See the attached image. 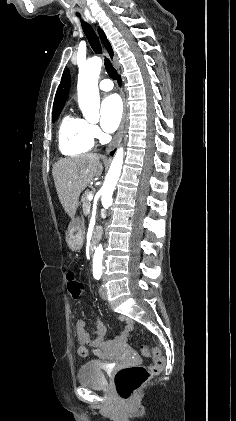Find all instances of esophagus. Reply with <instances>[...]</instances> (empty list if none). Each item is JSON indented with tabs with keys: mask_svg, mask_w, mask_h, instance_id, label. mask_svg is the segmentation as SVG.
Wrapping results in <instances>:
<instances>
[{
	"mask_svg": "<svg viewBox=\"0 0 236 421\" xmlns=\"http://www.w3.org/2000/svg\"><path fill=\"white\" fill-rule=\"evenodd\" d=\"M121 94H122V100H123V116H122L121 124L117 130V133L114 135L111 143L107 146L104 155H102L101 157L104 160L106 159L109 152L120 143L123 136L125 120H126L127 102H126L125 94L123 91H121Z\"/></svg>",
	"mask_w": 236,
	"mask_h": 421,
	"instance_id": "1",
	"label": "esophagus"
}]
</instances>
